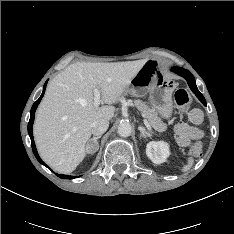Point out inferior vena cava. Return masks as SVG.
Returning a JSON list of instances; mask_svg holds the SVG:
<instances>
[{"instance_id":"602c4592","label":"inferior vena cava","mask_w":234,"mask_h":234,"mask_svg":"<svg viewBox=\"0 0 234 234\" xmlns=\"http://www.w3.org/2000/svg\"><path fill=\"white\" fill-rule=\"evenodd\" d=\"M109 127V121L106 119H100L91 124V132L95 136L102 135L107 131Z\"/></svg>"}]
</instances>
